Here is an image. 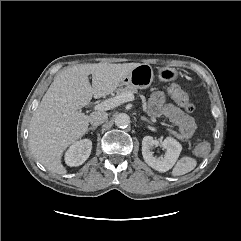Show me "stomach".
<instances>
[{
	"mask_svg": "<svg viewBox=\"0 0 241 241\" xmlns=\"http://www.w3.org/2000/svg\"><path fill=\"white\" fill-rule=\"evenodd\" d=\"M181 72L171 67L158 69V78L162 82H171L178 78ZM154 79V72L149 64H139L121 82V85H133L139 89L148 88Z\"/></svg>",
	"mask_w": 241,
	"mask_h": 241,
	"instance_id": "1",
	"label": "stomach"
}]
</instances>
